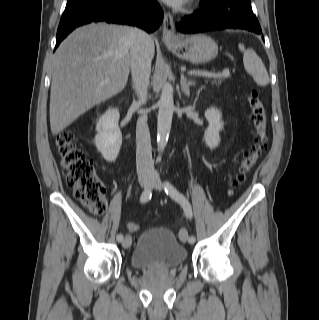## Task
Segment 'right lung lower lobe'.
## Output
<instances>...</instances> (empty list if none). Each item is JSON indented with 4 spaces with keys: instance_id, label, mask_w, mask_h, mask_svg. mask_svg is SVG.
<instances>
[{
    "instance_id": "98d812e1",
    "label": "right lung lower lobe",
    "mask_w": 319,
    "mask_h": 320,
    "mask_svg": "<svg viewBox=\"0 0 319 320\" xmlns=\"http://www.w3.org/2000/svg\"><path fill=\"white\" fill-rule=\"evenodd\" d=\"M97 21L136 25L153 32L163 21V11L156 0H85L65 9L55 48L74 28Z\"/></svg>"
}]
</instances>
